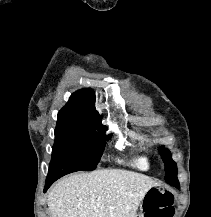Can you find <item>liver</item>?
<instances>
[{"label": "liver", "mask_w": 211, "mask_h": 217, "mask_svg": "<svg viewBox=\"0 0 211 217\" xmlns=\"http://www.w3.org/2000/svg\"><path fill=\"white\" fill-rule=\"evenodd\" d=\"M157 185L127 170L76 173L52 188L47 204L51 217H135L146 193Z\"/></svg>", "instance_id": "obj_1"}]
</instances>
